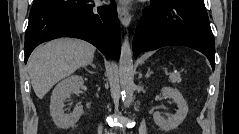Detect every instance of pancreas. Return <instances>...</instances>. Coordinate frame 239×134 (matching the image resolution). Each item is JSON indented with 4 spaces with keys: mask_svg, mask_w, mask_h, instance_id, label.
<instances>
[{
    "mask_svg": "<svg viewBox=\"0 0 239 134\" xmlns=\"http://www.w3.org/2000/svg\"><path fill=\"white\" fill-rule=\"evenodd\" d=\"M169 80L172 83H179V82H181V76H180V74H172V75H170Z\"/></svg>",
    "mask_w": 239,
    "mask_h": 134,
    "instance_id": "1",
    "label": "pancreas"
}]
</instances>
